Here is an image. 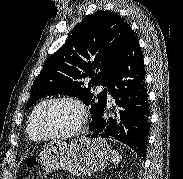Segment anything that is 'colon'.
<instances>
[{
  "mask_svg": "<svg viewBox=\"0 0 183 179\" xmlns=\"http://www.w3.org/2000/svg\"><path fill=\"white\" fill-rule=\"evenodd\" d=\"M34 164V160L32 159L31 161H30V166H32Z\"/></svg>",
  "mask_w": 183,
  "mask_h": 179,
  "instance_id": "5ec220e1",
  "label": "colon"
}]
</instances>
